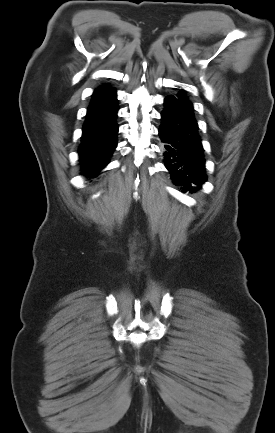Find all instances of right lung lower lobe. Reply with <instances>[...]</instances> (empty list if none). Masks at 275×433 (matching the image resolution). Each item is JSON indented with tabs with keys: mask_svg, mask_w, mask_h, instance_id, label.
Masks as SVG:
<instances>
[{
	"mask_svg": "<svg viewBox=\"0 0 275 433\" xmlns=\"http://www.w3.org/2000/svg\"><path fill=\"white\" fill-rule=\"evenodd\" d=\"M118 105L116 91L109 86L97 88L83 126L79 160L85 175L97 176L117 146Z\"/></svg>",
	"mask_w": 275,
	"mask_h": 433,
	"instance_id": "98d812e1",
	"label": "right lung lower lobe"
}]
</instances>
